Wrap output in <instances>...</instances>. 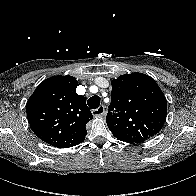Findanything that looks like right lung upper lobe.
Here are the masks:
<instances>
[{
  "instance_id": "1",
  "label": "right lung upper lobe",
  "mask_w": 196,
  "mask_h": 196,
  "mask_svg": "<svg viewBox=\"0 0 196 196\" xmlns=\"http://www.w3.org/2000/svg\"><path fill=\"white\" fill-rule=\"evenodd\" d=\"M72 76H53L35 89L26 105L32 131L44 142L68 148L80 144L87 134L86 124L93 116L84 96L76 93Z\"/></svg>"
}]
</instances>
